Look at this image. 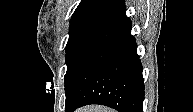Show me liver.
I'll return each instance as SVG.
<instances>
[{
	"label": "liver",
	"mask_w": 193,
	"mask_h": 112,
	"mask_svg": "<svg viewBox=\"0 0 193 112\" xmlns=\"http://www.w3.org/2000/svg\"><path fill=\"white\" fill-rule=\"evenodd\" d=\"M77 112H114V110L100 105H90L78 109Z\"/></svg>",
	"instance_id": "liver-1"
}]
</instances>
